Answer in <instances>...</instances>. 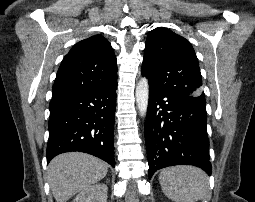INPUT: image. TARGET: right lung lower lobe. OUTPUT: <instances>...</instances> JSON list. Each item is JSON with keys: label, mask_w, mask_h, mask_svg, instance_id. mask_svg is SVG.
I'll return each instance as SVG.
<instances>
[{"label": "right lung lower lobe", "mask_w": 255, "mask_h": 202, "mask_svg": "<svg viewBox=\"0 0 255 202\" xmlns=\"http://www.w3.org/2000/svg\"><path fill=\"white\" fill-rule=\"evenodd\" d=\"M116 86L117 81L106 87L52 98L47 162L58 154L80 151L115 166Z\"/></svg>", "instance_id": "right-lung-lower-lobe-1"}]
</instances>
